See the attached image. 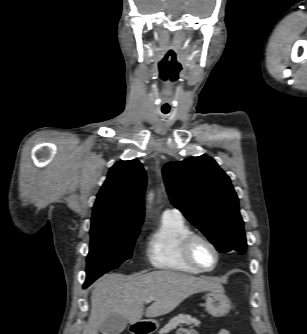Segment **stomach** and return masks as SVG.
<instances>
[{
  "instance_id": "obj_1",
  "label": "stomach",
  "mask_w": 307,
  "mask_h": 334,
  "mask_svg": "<svg viewBox=\"0 0 307 334\" xmlns=\"http://www.w3.org/2000/svg\"><path fill=\"white\" fill-rule=\"evenodd\" d=\"M206 311L214 317L225 316L231 309V302L225 295L224 290H213L206 295ZM145 328L154 331L157 324L154 322H143Z\"/></svg>"
}]
</instances>
